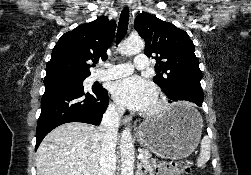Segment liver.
<instances>
[{"mask_svg":"<svg viewBox=\"0 0 251 175\" xmlns=\"http://www.w3.org/2000/svg\"><path fill=\"white\" fill-rule=\"evenodd\" d=\"M89 123H63L37 149V175H98L101 139Z\"/></svg>","mask_w":251,"mask_h":175,"instance_id":"obj_1","label":"liver"}]
</instances>
